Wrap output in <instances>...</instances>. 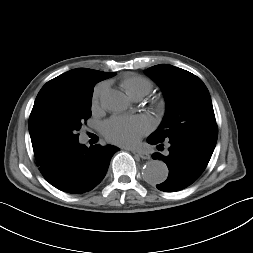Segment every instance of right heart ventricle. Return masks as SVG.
<instances>
[{
    "label": "right heart ventricle",
    "instance_id": "e07e8e85",
    "mask_svg": "<svg viewBox=\"0 0 253 253\" xmlns=\"http://www.w3.org/2000/svg\"><path fill=\"white\" fill-rule=\"evenodd\" d=\"M121 85L125 92L132 98L136 96L143 97L152 89V83L149 79L136 74L125 76Z\"/></svg>",
    "mask_w": 253,
    "mask_h": 253
}]
</instances>
